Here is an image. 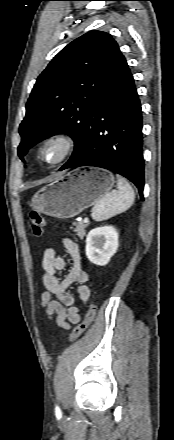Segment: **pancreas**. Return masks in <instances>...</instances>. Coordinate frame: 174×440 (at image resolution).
<instances>
[{"label": "pancreas", "mask_w": 174, "mask_h": 440, "mask_svg": "<svg viewBox=\"0 0 174 440\" xmlns=\"http://www.w3.org/2000/svg\"><path fill=\"white\" fill-rule=\"evenodd\" d=\"M89 225V222L85 223L83 221L81 222H74L73 223V231L78 235L80 239H83L86 235L85 228Z\"/></svg>", "instance_id": "1"}]
</instances>
